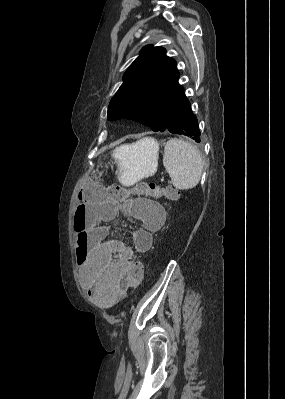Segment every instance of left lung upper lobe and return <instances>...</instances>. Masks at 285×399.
Listing matches in <instances>:
<instances>
[{"mask_svg": "<svg viewBox=\"0 0 285 399\" xmlns=\"http://www.w3.org/2000/svg\"><path fill=\"white\" fill-rule=\"evenodd\" d=\"M176 61L162 47L145 46L123 76L112 98L108 120L132 119L163 132L184 90Z\"/></svg>", "mask_w": 285, "mask_h": 399, "instance_id": "5c2ea615", "label": "left lung upper lobe"}]
</instances>
